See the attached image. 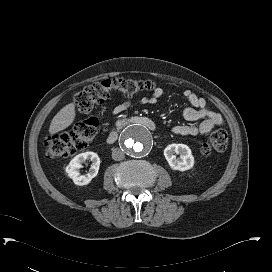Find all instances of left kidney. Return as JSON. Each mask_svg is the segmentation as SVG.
<instances>
[{"label":"left kidney","instance_id":"obj_1","mask_svg":"<svg viewBox=\"0 0 272 272\" xmlns=\"http://www.w3.org/2000/svg\"><path fill=\"white\" fill-rule=\"evenodd\" d=\"M175 154L180 157L176 158ZM164 156L173 170L187 171L194 166L191 149L185 144H170L164 149Z\"/></svg>","mask_w":272,"mask_h":272}]
</instances>
